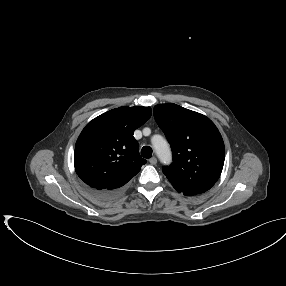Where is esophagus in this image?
Instances as JSON below:
<instances>
[{
  "instance_id": "1",
  "label": "esophagus",
  "mask_w": 286,
  "mask_h": 286,
  "mask_svg": "<svg viewBox=\"0 0 286 286\" xmlns=\"http://www.w3.org/2000/svg\"><path fill=\"white\" fill-rule=\"evenodd\" d=\"M150 164L152 165H156L157 164V159L156 157H152L150 160H149Z\"/></svg>"
}]
</instances>
